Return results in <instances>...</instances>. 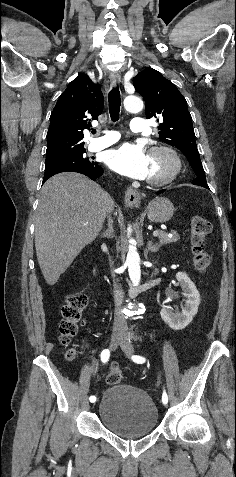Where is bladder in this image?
I'll list each match as a JSON object with an SVG mask.
<instances>
[{"instance_id": "31cf9c89", "label": "bladder", "mask_w": 236, "mask_h": 477, "mask_svg": "<svg viewBox=\"0 0 236 477\" xmlns=\"http://www.w3.org/2000/svg\"><path fill=\"white\" fill-rule=\"evenodd\" d=\"M97 413L110 432L125 439L147 436L159 422L157 407L150 396L128 384L107 387L97 402Z\"/></svg>"}]
</instances>
